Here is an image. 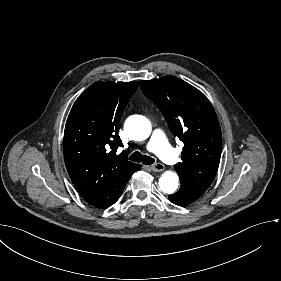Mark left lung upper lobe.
Instances as JSON below:
<instances>
[{
    "mask_svg": "<svg viewBox=\"0 0 281 281\" xmlns=\"http://www.w3.org/2000/svg\"><path fill=\"white\" fill-rule=\"evenodd\" d=\"M140 87L184 143L182 162L174 166L180 182L204 193L216 175L222 150L221 129L211 103L198 89L173 76L143 80Z\"/></svg>",
    "mask_w": 281,
    "mask_h": 281,
    "instance_id": "1",
    "label": "left lung upper lobe"
}]
</instances>
